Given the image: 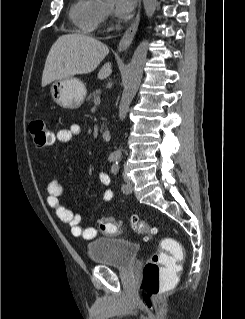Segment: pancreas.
<instances>
[{
	"label": "pancreas",
	"mask_w": 245,
	"mask_h": 319,
	"mask_svg": "<svg viewBox=\"0 0 245 319\" xmlns=\"http://www.w3.org/2000/svg\"><path fill=\"white\" fill-rule=\"evenodd\" d=\"M100 95H101V90L96 89L91 94H89L87 100L90 102V101L94 100L95 98L100 97Z\"/></svg>",
	"instance_id": "obj_1"
}]
</instances>
